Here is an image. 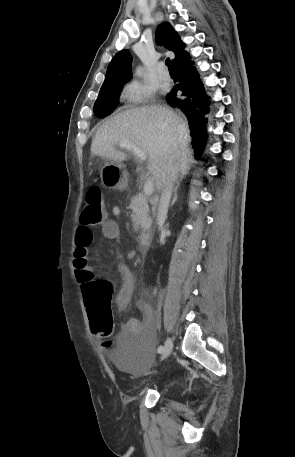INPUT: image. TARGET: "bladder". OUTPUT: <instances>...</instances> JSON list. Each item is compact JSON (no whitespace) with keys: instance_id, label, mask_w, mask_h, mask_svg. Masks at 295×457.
Wrapping results in <instances>:
<instances>
[{"instance_id":"bladder-1","label":"bladder","mask_w":295,"mask_h":457,"mask_svg":"<svg viewBox=\"0 0 295 457\" xmlns=\"http://www.w3.org/2000/svg\"><path fill=\"white\" fill-rule=\"evenodd\" d=\"M119 346L116 355L122 357L118 364L133 376L139 375L145 365L158 364L156 338H120Z\"/></svg>"}]
</instances>
